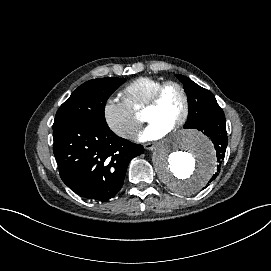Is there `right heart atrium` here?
Here are the masks:
<instances>
[{"label": "right heart atrium", "mask_w": 271, "mask_h": 271, "mask_svg": "<svg viewBox=\"0 0 271 271\" xmlns=\"http://www.w3.org/2000/svg\"><path fill=\"white\" fill-rule=\"evenodd\" d=\"M102 115L109 129L124 140H131L140 126L137 114L120 95H111L104 100Z\"/></svg>", "instance_id": "1"}]
</instances>
